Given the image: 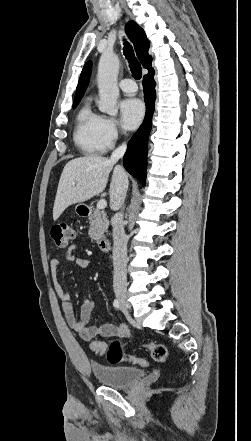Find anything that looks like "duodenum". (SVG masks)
Here are the masks:
<instances>
[{
  "instance_id": "obj_1",
  "label": "duodenum",
  "mask_w": 251,
  "mask_h": 441,
  "mask_svg": "<svg viewBox=\"0 0 251 441\" xmlns=\"http://www.w3.org/2000/svg\"><path fill=\"white\" fill-rule=\"evenodd\" d=\"M89 213H90V210H89L88 207H83V208L81 209V215H83V216H88ZM110 245H111V242H110V240H109L108 237H106V236H101V237L98 239V246H99V248H100L101 251H103V252H107V251H109V249H110Z\"/></svg>"
}]
</instances>
